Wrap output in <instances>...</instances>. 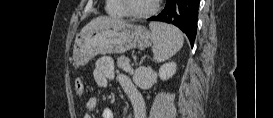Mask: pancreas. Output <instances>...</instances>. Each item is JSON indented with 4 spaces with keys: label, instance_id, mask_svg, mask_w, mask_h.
Listing matches in <instances>:
<instances>
[{
    "label": "pancreas",
    "instance_id": "obj_1",
    "mask_svg": "<svg viewBox=\"0 0 273 118\" xmlns=\"http://www.w3.org/2000/svg\"><path fill=\"white\" fill-rule=\"evenodd\" d=\"M129 59L125 56H120L117 59V66L121 69H123L125 72L133 73V69L129 64Z\"/></svg>",
    "mask_w": 273,
    "mask_h": 118
}]
</instances>
